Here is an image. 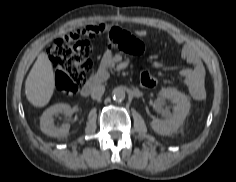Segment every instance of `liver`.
<instances>
[{
  "label": "liver",
  "mask_w": 236,
  "mask_h": 182,
  "mask_svg": "<svg viewBox=\"0 0 236 182\" xmlns=\"http://www.w3.org/2000/svg\"><path fill=\"white\" fill-rule=\"evenodd\" d=\"M55 77L52 64L45 52L38 55L25 81L26 97L35 107L47 105L54 93Z\"/></svg>",
  "instance_id": "obj_1"
}]
</instances>
